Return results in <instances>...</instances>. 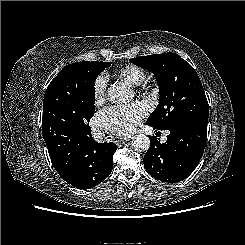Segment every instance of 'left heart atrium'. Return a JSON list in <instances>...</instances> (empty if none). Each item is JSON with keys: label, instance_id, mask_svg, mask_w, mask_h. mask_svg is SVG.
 <instances>
[{"label": "left heart atrium", "instance_id": "left-heart-atrium-1", "mask_svg": "<svg viewBox=\"0 0 245 245\" xmlns=\"http://www.w3.org/2000/svg\"><path fill=\"white\" fill-rule=\"evenodd\" d=\"M146 115V107L141 103L111 106L100 113V120L108 130L118 135L133 132Z\"/></svg>", "mask_w": 245, "mask_h": 245}]
</instances>
